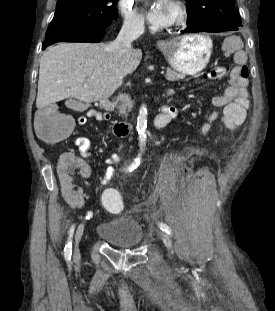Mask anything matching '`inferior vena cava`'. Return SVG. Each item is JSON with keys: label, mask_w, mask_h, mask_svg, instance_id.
Listing matches in <instances>:
<instances>
[{"label": "inferior vena cava", "mask_w": 275, "mask_h": 311, "mask_svg": "<svg viewBox=\"0 0 275 311\" xmlns=\"http://www.w3.org/2000/svg\"><path fill=\"white\" fill-rule=\"evenodd\" d=\"M144 32V21H125L118 37L109 47L119 57H125L132 51V42Z\"/></svg>", "instance_id": "602c4592"}]
</instances>
